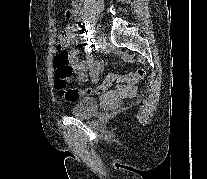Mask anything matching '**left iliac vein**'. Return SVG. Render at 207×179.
<instances>
[{
  "mask_svg": "<svg viewBox=\"0 0 207 179\" xmlns=\"http://www.w3.org/2000/svg\"><path fill=\"white\" fill-rule=\"evenodd\" d=\"M98 36H99V39L96 40V43L98 45V48L102 49L103 46L106 45V41H107L106 35L104 33H100Z\"/></svg>",
  "mask_w": 207,
  "mask_h": 179,
  "instance_id": "1",
  "label": "left iliac vein"
}]
</instances>
